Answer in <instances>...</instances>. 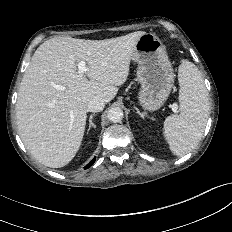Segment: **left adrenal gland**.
Returning <instances> with one entry per match:
<instances>
[{"label":"left adrenal gland","instance_id":"obj_1","mask_svg":"<svg viewBox=\"0 0 232 232\" xmlns=\"http://www.w3.org/2000/svg\"><path fill=\"white\" fill-rule=\"evenodd\" d=\"M134 108H135V110H136V112H137V114L140 116V117H142V118H144L145 117V113L143 114V113H141L140 111H139V109L136 107V106H134Z\"/></svg>","mask_w":232,"mask_h":232}]
</instances>
